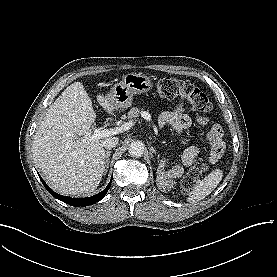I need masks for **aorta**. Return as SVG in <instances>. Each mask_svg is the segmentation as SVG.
Here are the masks:
<instances>
[{
    "mask_svg": "<svg viewBox=\"0 0 277 277\" xmlns=\"http://www.w3.org/2000/svg\"><path fill=\"white\" fill-rule=\"evenodd\" d=\"M145 145L141 141H134L130 144L128 152L132 157H141L144 153Z\"/></svg>",
    "mask_w": 277,
    "mask_h": 277,
    "instance_id": "obj_1",
    "label": "aorta"
}]
</instances>
